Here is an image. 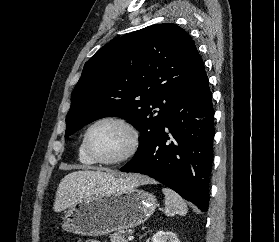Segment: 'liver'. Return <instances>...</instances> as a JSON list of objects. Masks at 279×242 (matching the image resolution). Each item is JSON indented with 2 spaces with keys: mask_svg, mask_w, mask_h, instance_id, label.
<instances>
[{
  "mask_svg": "<svg viewBox=\"0 0 279 242\" xmlns=\"http://www.w3.org/2000/svg\"><path fill=\"white\" fill-rule=\"evenodd\" d=\"M152 183L148 177L130 175L116 178L102 171H75L66 175L60 181L53 206L55 212L71 207L82 198L106 193L114 190L133 188Z\"/></svg>",
  "mask_w": 279,
  "mask_h": 242,
  "instance_id": "obj_1",
  "label": "liver"
}]
</instances>
